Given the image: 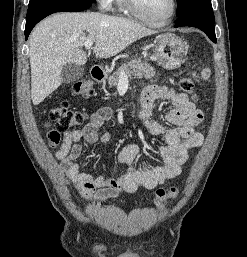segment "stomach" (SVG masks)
<instances>
[{"label":"stomach","mask_w":247,"mask_h":257,"mask_svg":"<svg viewBox=\"0 0 247 257\" xmlns=\"http://www.w3.org/2000/svg\"><path fill=\"white\" fill-rule=\"evenodd\" d=\"M186 44L175 34L158 36L154 43V59L165 69H175L182 63Z\"/></svg>","instance_id":"stomach-1"}]
</instances>
